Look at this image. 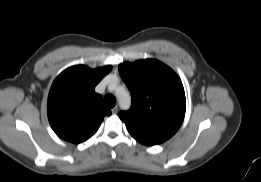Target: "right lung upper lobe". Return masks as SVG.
<instances>
[{"label": "right lung upper lobe", "instance_id": "right-lung-upper-lobe-1", "mask_svg": "<svg viewBox=\"0 0 261 182\" xmlns=\"http://www.w3.org/2000/svg\"><path fill=\"white\" fill-rule=\"evenodd\" d=\"M111 66L90 69L84 65L69 67L54 80L47 101V113L54 132L62 139L81 143L96 133L104 116V107L95 86L111 71Z\"/></svg>", "mask_w": 261, "mask_h": 182}]
</instances>
